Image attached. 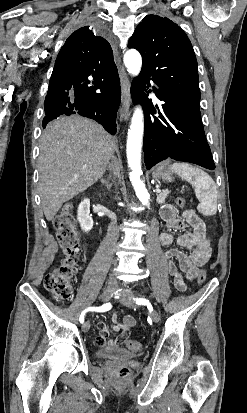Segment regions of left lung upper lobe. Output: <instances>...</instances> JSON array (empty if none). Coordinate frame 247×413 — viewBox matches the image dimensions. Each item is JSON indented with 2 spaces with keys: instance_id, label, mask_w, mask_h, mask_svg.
Returning a JSON list of instances; mask_svg holds the SVG:
<instances>
[{
  "instance_id": "1",
  "label": "left lung upper lobe",
  "mask_w": 247,
  "mask_h": 413,
  "mask_svg": "<svg viewBox=\"0 0 247 413\" xmlns=\"http://www.w3.org/2000/svg\"><path fill=\"white\" fill-rule=\"evenodd\" d=\"M143 59L141 73L158 86L200 102L197 60L185 32L168 18L147 15L128 42Z\"/></svg>"
}]
</instances>
